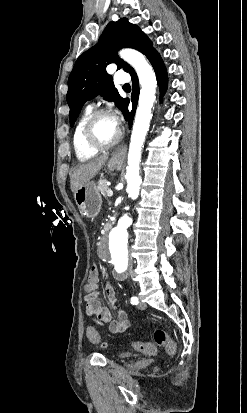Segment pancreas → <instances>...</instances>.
Instances as JSON below:
<instances>
[{
  "label": "pancreas",
  "mask_w": 247,
  "mask_h": 413,
  "mask_svg": "<svg viewBox=\"0 0 247 413\" xmlns=\"http://www.w3.org/2000/svg\"><path fill=\"white\" fill-rule=\"evenodd\" d=\"M107 182H109V180H107V178H100V180L98 182V190H100V192H101V194H103V196H107V190H108Z\"/></svg>",
  "instance_id": "pancreas-1"
}]
</instances>
